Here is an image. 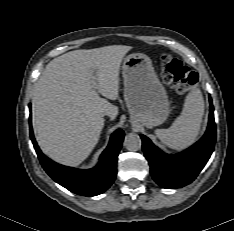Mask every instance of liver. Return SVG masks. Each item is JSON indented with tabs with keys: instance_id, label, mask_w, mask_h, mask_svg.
Masks as SVG:
<instances>
[{
	"instance_id": "obj_1",
	"label": "liver",
	"mask_w": 234,
	"mask_h": 231,
	"mask_svg": "<svg viewBox=\"0 0 234 231\" xmlns=\"http://www.w3.org/2000/svg\"><path fill=\"white\" fill-rule=\"evenodd\" d=\"M130 50L125 45L74 50L47 64L33 92L32 121L37 142L51 159L77 166L90 155L104 127L103 114L111 119L118 114L107 99L119 96L120 65Z\"/></svg>"
}]
</instances>
